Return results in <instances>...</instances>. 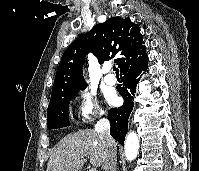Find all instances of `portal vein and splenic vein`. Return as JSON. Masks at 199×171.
<instances>
[{"label": "portal vein and splenic vein", "mask_w": 199, "mask_h": 171, "mask_svg": "<svg viewBox=\"0 0 199 171\" xmlns=\"http://www.w3.org/2000/svg\"><path fill=\"white\" fill-rule=\"evenodd\" d=\"M89 171H97L96 168H91Z\"/></svg>", "instance_id": "portal-vein-and-splenic-vein-1"}]
</instances>
